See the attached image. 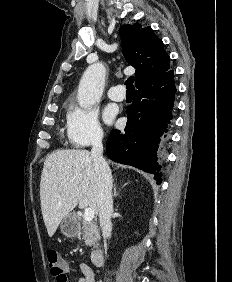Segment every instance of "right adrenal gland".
Instances as JSON below:
<instances>
[{"instance_id": "2a0ac1e0", "label": "right adrenal gland", "mask_w": 232, "mask_h": 282, "mask_svg": "<svg viewBox=\"0 0 232 282\" xmlns=\"http://www.w3.org/2000/svg\"><path fill=\"white\" fill-rule=\"evenodd\" d=\"M127 184V183H126ZM125 184V185H126ZM124 185V186H125ZM118 195L117 189H116V185L114 184V189H113V196L116 197Z\"/></svg>"}]
</instances>
